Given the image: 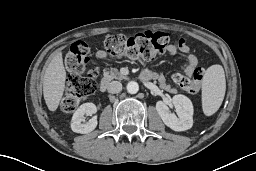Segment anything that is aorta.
<instances>
[{
	"mask_svg": "<svg viewBox=\"0 0 256 171\" xmlns=\"http://www.w3.org/2000/svg\"><path fill=\"white\" fill-rule=\"evenodd\" d=\"M126 88H127L128 93H130V94H136V93L138 92V90H139V85H138V83L135 82V81H130V82L127 84Z\"/></svg>",
	"mask_w": 256,
	"mask_h": 171,
	"instance_id": "obj_1",
	"label": "aorta"
}]
</instances>
